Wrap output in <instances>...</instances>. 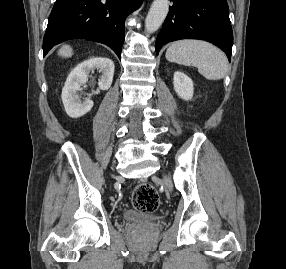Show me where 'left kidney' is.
<instances>
[{"label": "left kidney", "instance_id": "1", "mask_svg": "<svg viewBox=\"0 0 286 269\" xmlns=\"http://www.w3.org/2000/svg\"><path fill=\"white\" fill-rule=\"evenodd\" d=\"M174 89L183 100H191L194 92V84L191 78L180 71H176L173 77Z\"/></svg>", "mask_w": 286, "mask_h": 269}]
</instances>
